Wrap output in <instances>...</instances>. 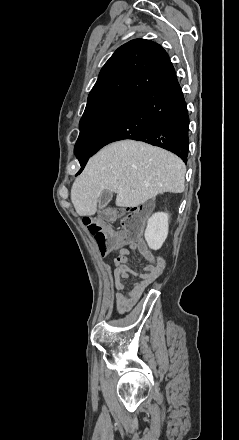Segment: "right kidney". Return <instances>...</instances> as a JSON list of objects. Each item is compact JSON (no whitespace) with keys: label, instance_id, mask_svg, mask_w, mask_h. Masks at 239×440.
<instances>
[{"label":"right kidney","instance_id":"1","mask_svg":"<svg viewBox=\"0 0 239 440\" xmlns=\"http://www.w3.org/2000/svg\"><path fill=\"white\" fill-rule=\"evenodd\" d=\"M144 236L149 247H162L168 236V214H164V212L153 214L147 222Z\"/></svg>","mask_w":239,"mask_h":440}]
</instances>
